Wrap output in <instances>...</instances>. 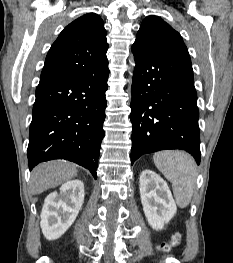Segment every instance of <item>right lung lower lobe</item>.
<instances>
[{"instance_id":"right-lung-lower-lobe-1","label":"right lung lower lobe","mask_w":233,"mask_h":263,"mask_svg":"<svg viewBox=\"0 0 233 263\" xmlns=\"http://www.w3.org/2000/svg\"><path fill=\"white\" fill-rule=\"evenodd\" d=\"M108 75L106 60L93 74L37 86L27 149L30 170L40 162L66 159L97 178Z\"/></svg>"}]
</instances>
